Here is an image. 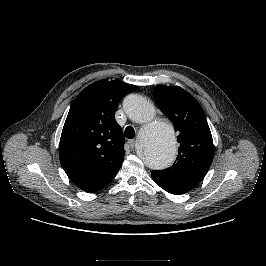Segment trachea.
I'll return each instance as SVG.
<instances>
[{
    "label": "trachea",
    "instance_id": "3493384b",
    "mask_svg": "<svg viewBox=\"0 0 266 266\" xmlns=\"http://www.w3.org/2000/svg\"><path fill=\"white\" fill-rule=\"evenodd\" d=\"M124 134L127 138L132 139L135 137V130L133 129V127L128 126L126 127Z\"/></svg>",
    "mask_w": 266,
    "mask_h": 266
}]
</instances>
